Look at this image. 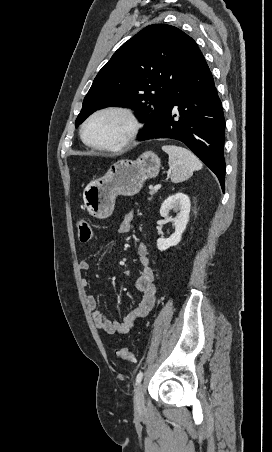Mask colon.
Instances as JSON below:
<instances>
[{"instance_id":"colon-1","label":"colon","mask_w":272,"mask_h":452,"mask_svg":"<svg viewBox=\"0 0 272 452\" xmlns=\"http://www.w3.org/2000/svg\"><path fill=\"white\" fill-rule=\"evenodd\" d=\"M77 227L81 242L86 243L92 240L94 231L92 225L87 220H79ZM116 357L120 360L130 362L133 360V353L129 348H122L116 351Z\"/></svg>"}]
</instances>
